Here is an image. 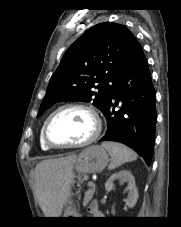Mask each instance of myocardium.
I'll return each mask as SVG.
<instances>
[{
	"mask_svg": "<svg viewBox=\"0 0 181 227\" xmlns=\"http://www.w3.org/2000/svg\"><path fill=\"white\" fill-rule=\"evenodd\" d=\"M72 108L83 110L90 115L93 121V131L88 138L80 142L68 143V144L56 143L49 136V127H50L51 121L59 112L65 109H72ZM101 131H102V120L99 114L97 113V111L92 106L79 103V102H71V103H66L59 106L53 112L50 113V115L47 117V119L44 122L43 129H42V136L46 144L51 148H56V149L78 148V147H85L93 143L99 137Z\"/></svg>",
	"mask_w": 181,
	"mask_h": 227,
	"instance_id": "f54148a6",
	"label": "myocardium"
}]
</instances>
